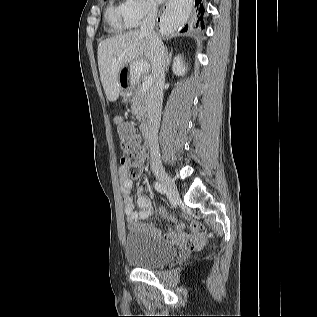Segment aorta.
<instances>
[{"label": "aorta", "mask_w": 317, "mask_h": 317, "mask_svg": "<svg viewBox=\"0 0 317 317\" xmlns=\"http://www.w3.org/2000/svg\"><path fill=\"white\" fill-rule=\"evenodd\" d=\"M181 23V17L177 11L168 9L163 16L162 29L169 33L175 30Z\"/></svg>", "instance_id": "obj_1"}]
</instances>
